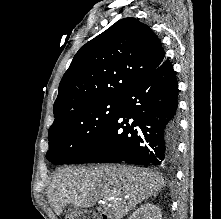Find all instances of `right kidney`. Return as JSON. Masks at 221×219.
<instances>
[{
  "label": "right kidney",
  "instance_id": "1",
  "mask_svg": "<svg viewBox=\"0 0 221 219\" xmlns=\"http://www.w3.org/2000/svg\"><path fill=\"white\" fill-rule=\"evenodd\" d=\"M128 219H162L161 209L151 203L137 208Z\"/></svg>",
  "mask_w": 221,
  "mask_h": 219
}]
</instances>
